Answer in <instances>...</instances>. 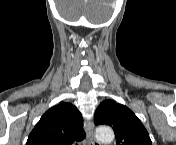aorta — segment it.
I'll use <instances>...</instances> for the list:
<instances>
[{
    "label": "aorta",
    "mask_w": 176,
    "mask_h": 145,
    "mask_svg": "<svg viewBox=\"0 0 176 145\" xmlns=\"http://www.w3.org/2000/svg\"><path fill=\"white\" fill-rule=\"evenodd\" d=\"M95 135L97 140H99L102 143H110L115 138L112 129L109 127L96 128Z\"/></svg>",
    "instance_id": "obj_1"
}]
</instances>
